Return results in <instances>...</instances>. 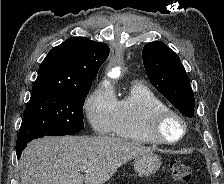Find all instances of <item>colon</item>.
<instances>
[{"label": "colon", "instance_id": "5ec220e1", "mask_svg": "<svg viewBox=\"0 0 224 184\" xmlns=\"http://www.w3.org/2000/svg\"><path fill=\"white\" fill-rule=\"evenodd\" d=\"M173 179L179 184H188L192 177V169L182 161L175 160L170 163Z\"/></svg>", "mask_w": 224, "mask_h": 184}]
</instances>
